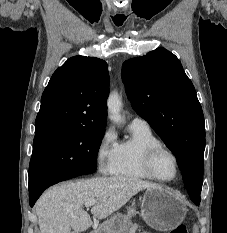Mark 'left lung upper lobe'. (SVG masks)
Listing matches in <instances>:
<instances>
[{"instance_id":"obj_1","label":"left lung upper lobe","mask_w":227,"mask_h":233,"mask_svg":"<svg viewBox=\"0 0 227 233\" xmlns=\"http://www.w3.org/2000/svg\"><path fill=\"white\" fill-rule=\"evenodd\" d=\"M122 79L132 107L175 155L191 200L200 202L204 115L195 88L180 61L159 47L125 61Z\"/></svg>"}]
</instances>
